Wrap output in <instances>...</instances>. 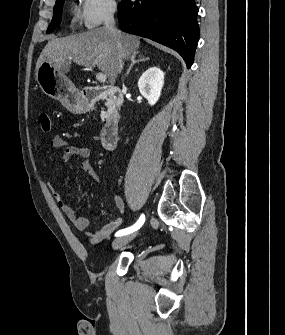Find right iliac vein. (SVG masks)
<instances>
[{
    "mask_svg": "<svg viewBox=\"0 0 285 335\" xmlns=\"http://www.w3.org/2000/svg\"><path fill=\"white\" fill-rule=\"evenodd\" d=\"M135 237H136V233L119 237L113 241V248L115 250L120 249L122 246L128 244Z\"/></svg>",
    "mask_w": 285,
    "mask_h": 335,
    "instance_id": "1",
    "label": "right iliac vein"
}]
</instances>
